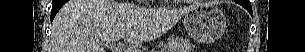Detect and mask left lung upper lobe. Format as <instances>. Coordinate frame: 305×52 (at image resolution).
Here are the masks:
<instances>
[{
  "label": "left lung upper lobe",
  "instance_id": "5c2ea615",
  "mask_svg": "<svg viewBox=\"0 0 305 52\" xmlns=\"http://www.w3.org/2000/svg\"><path fill=\"white\" fill-rule=\"evenodd\" d=\"M237 2L238 4H240L241 6H243L245 9L248 10V12L250 14H252V7H251V4H250V1L249 0H237L235 1Z\"/></svg>",
  "mask_w": 305,
  "mask_h": 52
}]
</instances>
